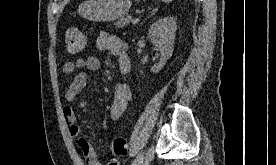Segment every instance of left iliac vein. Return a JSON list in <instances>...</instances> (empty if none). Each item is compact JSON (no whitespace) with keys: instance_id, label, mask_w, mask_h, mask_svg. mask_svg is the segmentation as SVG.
<instances>
[{"instance_id":"left-iliac-vein-1","label":"left iliac vein","mask_w":276,"mask_h":165,"mask_svg":"<svg viewBox=\"0 0 276 165\" xmlns=\"http://www.w3.org/2000/svg\"><path fill=\"white\" fill-rule=\"evenodd\" d=\"M154 157V146L152 145L146 155L143 157L139 165H149Z\"/></svg>"}]
</instances>
